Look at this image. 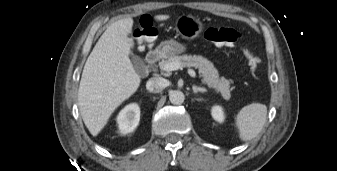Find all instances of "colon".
<instances>
[{"label":"colon","mask_w":337,"mask_h":171,"mask_svg":"<svg viewBox=\"0 0 337 171\" xmlns=\"http://www.w3.org/2000/svg\"><path fill=\"white\" fill-rule=\"evenodd\" d=\"M135 36L139 45H150L156 40L157 34L152 18L143 15L136 26ZM241 34L233 28L210 27L205 32V38L217 46H230L236 44ZM246 59L251 69L256 72L260 66L259 57L248 47L244 49Z\"/></svg>","instance_id":"5ec220e1"}]
</instances>
